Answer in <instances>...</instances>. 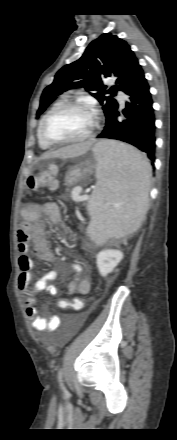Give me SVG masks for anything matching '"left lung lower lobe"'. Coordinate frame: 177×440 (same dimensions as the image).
Wrapping results in <instances>:
<instances>
[{
  "label": "left lung lower lobe",
  "instance_id": "left-lung-lower-lobe-1",
  "mask_svg": "<svg viewBox=\"0 0 177 440\" xmlns=\"http://www.w3.org/2000/svg\"><path fill=\"white\" fill-rule=\"evenodd\" d=\"M128 96L123 118L115 111L106 119V125L97 138L116 139L129 143L145 153L154 166L155 161V115L149 85L141 70L133 83L125 90Z\"/></svg>",
  "mask_w": 177,
  "mask_h": 440
}]
</instances>
